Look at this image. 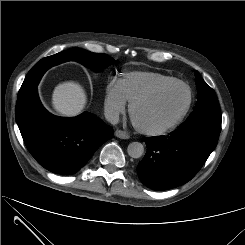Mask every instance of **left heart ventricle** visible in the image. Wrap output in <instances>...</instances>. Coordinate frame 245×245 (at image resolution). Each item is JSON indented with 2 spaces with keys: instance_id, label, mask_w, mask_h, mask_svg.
<instances>
[{
  "instance_id": "1",
  "label": "left heart ventricle",
  "mask_w": 245,
  "mask_h": 245,
  "mask_svg": "<svg viewBox=\"0 0 245 245\" xmlns=\"http://www.w3.org/2000/svg\"><path fill=\"white\" fill-rule=\"evenodd\" d=\"M187 99V89L182 85H173L154 99L138 106L134 113V119L144 128L165 127L178 117L184 109Z\"/></svg>"
}]
</instances>
